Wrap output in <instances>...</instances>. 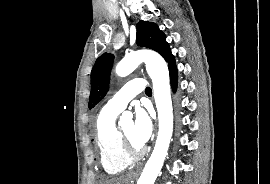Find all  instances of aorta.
<instances>
[{"label": "aorta", "instance_id": "aorta-1", "mask_svg": "<svg viewBox=\"0 0 270 184\" xmlns=\"http://www.w3.org/2000/svg\"><path fill=\"white\" fill-rule=\"evenodd\" d=\"M142 62H145L147 72L153 82L159 130L154 150L137 184H154L167 156L173 133V108L168 66L158 53L153 51H138L127 54L117 64L115 70L118 76L125 77L132 73ZM131 117L132 114L130 112H124L120 120Z\"/></svg>", "mask_w": 270, "mask_h": 184}]
</instances>
